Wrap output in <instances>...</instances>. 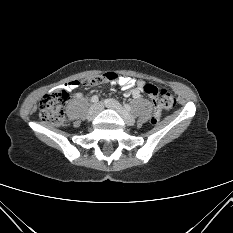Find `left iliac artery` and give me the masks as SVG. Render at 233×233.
<instances>
[{"label": "left iliac artery", "instance_id": "left-iliac-artery-1", "mask_svg": "<svg viewBox=\"0 0 233 233\" xmlns=\"http://www.w3.org/2000/svg\"><path fill=\"white\" fill-rule=\"evenodd\" d=\"M124 107L127 111H131V107L128 104H124Z\"/></svg>", "mask_w": 233, "mask_h": 233}]
</instances>
